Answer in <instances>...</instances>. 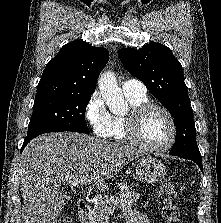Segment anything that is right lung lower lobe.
Returning a JSON list of instances; mask_svg holds the SVG:
<instances>
[{
	"instance_id": "1",
	"label": "right lung lower lobe",
	"mask_w": 221,
	"mask_h": 223,
	"mask_svg": "<svg viewBox=\"0 0 221 223\" xmlns=\"http://www.w3.org/2000/svg\"><path fill=\"white\" fill-rule=\"evenodd\" d=\"M33 138H28V139H25L24 140V143L22 145V148H21V152L23 151V149L25 148V146L32 140Z\"/></svg>"
}]
</instances>
